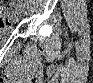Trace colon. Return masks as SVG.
I'll return each instance as SVG.
<instances>
[{
  "label": "colon",
  "mask_w": 93,
  "mask_h": 83,
  "mask_svg": "<svg viewBox=\"0 0 93 83\" xmlns=\"http://www.w3.org/2000/svg\"><path fill=\"white\" fill-rule=\"evenodd\" d=\"M12 4H14V1L2 2L1 11H0V18L2 24H6L7 22L14 20V14L17 12V10L11 8Z\"/></svg>",
  "instance_id": "colon-1"
}]
</instances>
